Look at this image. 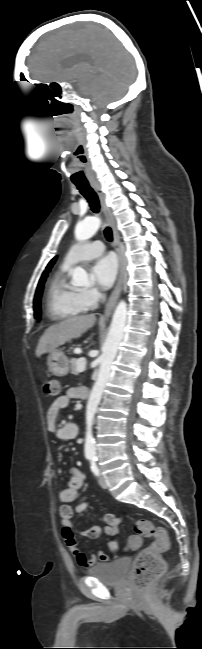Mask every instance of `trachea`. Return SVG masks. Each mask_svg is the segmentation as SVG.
Instances as JSON below:
<instances>
[{"mask_svg": "<svg viewBox=\"0 0 202 649\" xmlns=\"http://www.w3.org/2000/svg\"><path fill=\"white\" fill-rule=\"evenodd\" d=\"M80 193L86 198L93 212L98 213L100 210L99 199L96 192L90 186L88 182L85 183H75ZM104 235L106 239L111 242L113 240L112 230L109 227L104 229Z\"/></svg>", "mask_w": 202, "mask_h": 649, "instance_id": "trachea-1", "label": "trachea"}]
</instances>
